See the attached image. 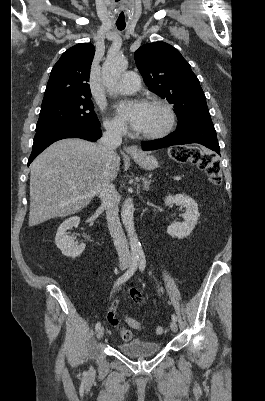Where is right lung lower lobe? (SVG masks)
Segmentation results:
<instances>
[{
  "label": "right lung lower lobe",
  "instance_id": "right-lung-lower-lobe-1",
  "mask_svg": "<svg viewBox=\"0 0 265 401\" xmlns=\"http://www.w3.org/2000/svg\"><path fill=\"white\" fill-rule=\"evenodd\" d=\"M102 136L100 127L78 124L50 125L36 130L28 165L53 142L64 138H82L96 141Z\"/></svg>",
  "mask_w": 265,
  "mask_h": 401
}]
</instances>
